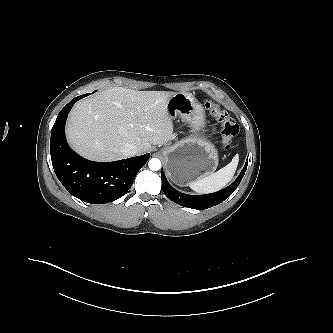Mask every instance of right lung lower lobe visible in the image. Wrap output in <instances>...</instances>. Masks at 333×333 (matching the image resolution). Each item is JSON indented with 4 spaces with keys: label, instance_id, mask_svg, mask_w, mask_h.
<instances>
[{
    "label": "right lung lower lobe",
    "instance_id": "right-lung-lower-lobe-1",
    "mask_svg": "<svg viewBox=\"0 0 333 333\" xmlns=\"http://www.w3.org/2000/svg\"><path fill=\"white\" fill-rule=\"evenodd\" d=\"M81 98L72 99L53 125L50 139L52 165L59 181L73 196L91 204L112 202L127 193L150 154L114 162H93L71 150L65 138V123L72 106Z\"/></svg>",
    "mask_w": 333,
    "mask_h": 333
}]
</instances>
